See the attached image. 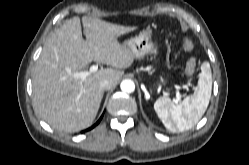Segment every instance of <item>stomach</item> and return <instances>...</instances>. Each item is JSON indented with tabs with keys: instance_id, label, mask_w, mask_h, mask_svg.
I'll return each mask as SVG.
<instances>
[{
	"instance_id": "obj_1",
	"label": "stomach",
	"mask_w": 249,
	"mask_h": 165,
	"mask_svg": "<svg viewBox=\"0 0 249 165\" xmlns=\"http://www.w3.org/2000/svg\"><path fill=\"white\" fill-rule=\"evenodd\" d=\"M136 58L147 53H157V47L152 41V29H143L138 36L132 37L123 44ZM160 84L165 85L166 81L160 78Z\"/></svg>"
}]
</instances>
